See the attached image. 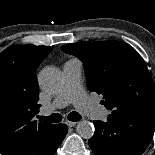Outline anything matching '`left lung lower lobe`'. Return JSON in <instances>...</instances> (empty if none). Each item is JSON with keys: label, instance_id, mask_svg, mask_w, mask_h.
<instances>
[{"label": "left lung lower lobe", "instance_id": "1", "mask_svg": "<svg viewBox=\"0 0 155 155\" xmlns=\"http://www.w3.org/2000/svg\"><path fill=\"white\" fill-rule=\"evenodd\" d=\"M93 123L89 145L96 155H142L152 139L155 114H111L106 122Z\"/></svg>", "mask_w": 155, "mask_h": 155}]
</instances>
